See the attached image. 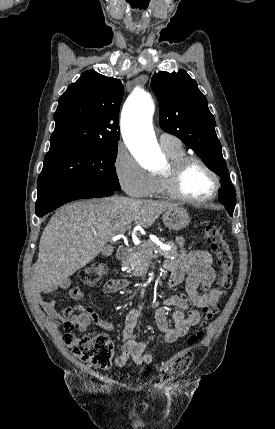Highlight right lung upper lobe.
<instances>
[{"label": "right lung upper lobe", "instance_id": "obj_1", "mask_svg": "<svg viewBox=\"0 0 275 429\" xmlns=\"http://www.w3.org/2000/svg\"><path fill=\"white\" fill-rule=\"evenodd\" d=\"M123 90L119 79L93 70L83 72L59 99L50 150L117 144Z\"/></svg>", "mask_w": 275, "mask_h": 429}]
</instances>
